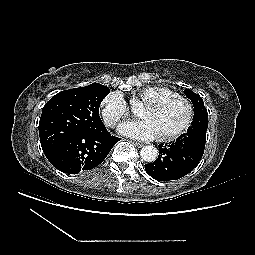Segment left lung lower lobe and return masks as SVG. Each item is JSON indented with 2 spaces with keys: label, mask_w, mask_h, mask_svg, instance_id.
I'll return each instance as SVG.
<instances>
[{
  "label": "left lung lower lobe",
  "mask_w": 255,
  "mask_h": 255,
  "mask_svg": "<svg viewBox=\"0 0 255 255\" xmlns=\"http://www.w3.org/2000/svg\"><path fill=\"white\" fill-rule=\"evenodd\" d=\"M206 131L196 129L170 145H159L160 156L155 162L145 164L146 172L159 181L177 180L190 173L203 156Z\"/></svg>",
  "instance_id": "obj_1"
}]
</instances>
